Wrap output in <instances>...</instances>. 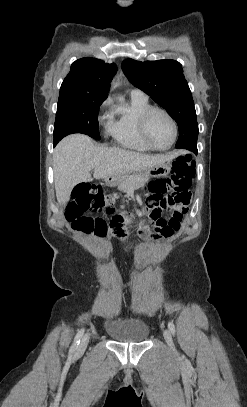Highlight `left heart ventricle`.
<instances>
[{
    "mask_svg": "<svg viewBox=\"0 0 247 407\" xmlns=\"http://www.w3.org/2000/svg\"><path fill=\"white\" fill-rule=\"evenodd\" d=\"M151 142L160 148L167 147L173 138V126L170 120L161 113H154L147 125Z\"/></svg>",
    "mask_w": 247,
    "mask_h": 407,
    "instance_id": "1",
    "label": "left heart ventricle"
}]
</instances>
